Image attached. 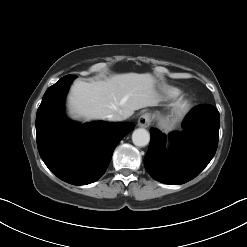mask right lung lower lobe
<instances>
[{
  "instance_id": "right-lung-lower-lobe-1",
  "label": "right lung lower lobe",
  "mask_w": 247,
  "mask_h": 247,
  "mask_svg": "<svg viewBox=\"0 0 247 247\" xmlns=\"http://www.w3.org/2000/svg\"><path fill=\"white\" fill-rule=\"evenodd\" d=\"M74 78L67 75L45 92L36 116V139L50 171L67 183L85 185L105 173L115 147L135 126L130 122L80 125L67 119L64 98Z\"/></svg>"
}]
</instances>
